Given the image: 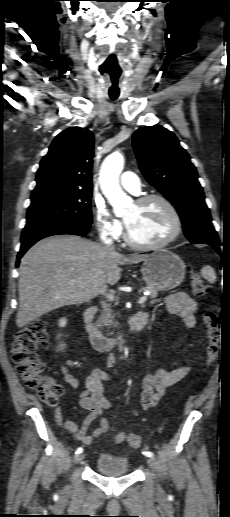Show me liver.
Wrapping results in <instances>:
<instances>
[{"label":"liver","instance_id":"obj_1","mask_svg":"<svg viewBox=\"0 0 230 517\" xmlns=\"http://www.w3.org/2000/svg\"><path fill=\"white\" fill-rule=\"evenodd\" d=\"M147 257L126 256L77 236L40 240L21 259L17 326L22 328L52 310L106 293L108 285L121 278L118 265L137 264Z\"/></svg>","mask_w":230,"mask_h":517}]
</instances>
